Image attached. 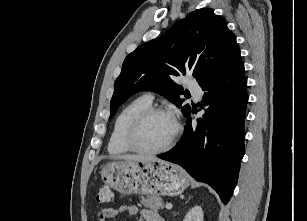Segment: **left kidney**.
I'll list each match as a JSON object with an SVG mask.
<instances>
[{
  "label": "left kidney",
  "mask_w": 307,
  "mask_h": 221,
  "mask_svg": "<svg viewBox=\"0 0 307 221\" xmlns=\"http://www.w3.org/2000/svg\"><path fill=\"white\" fill-rule=\"evenodd\" d=\"M204 214L200 206L192 208L185 216L183 221H203Z\"/></svg>",
  "instance_id": "left-kidney-1"
}]
</instances>
